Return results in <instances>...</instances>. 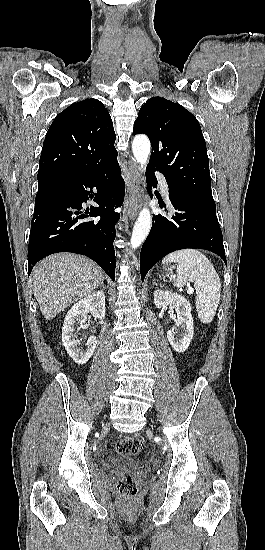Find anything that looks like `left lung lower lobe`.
<instances>
[{
    "label": "left lung lower lobe",
    "instance_id": "left-lung-lower-lobe-1",
    "mask_svg": "<svg viewBox=\"0 0 265 550\" xmlns=\"http://www.w3.org/2000/svg\"><path fill=\"white\" fill-rule=\"evenodd\" d=\"M147 178L150 188L152 185L157 186V179L151 168ZM169 200L175 212L169 217L153 215L152 228L143 243L140 253L142 281L161 258L180 249H206L219 255L226 263L216 206L191 195L174 194L170 190ZM160 207L164 208L165 204Z\"/></svg>",
    "mask_w": 265,
    "mask_h": 550
}]
</instances>
